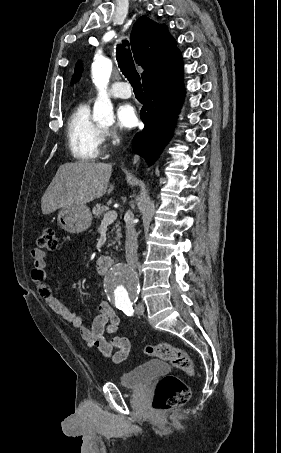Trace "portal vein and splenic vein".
Masks as SVG:
<instances>
[{"instance_id": "obj_1", "label": "portal vein and splenic vein", "mask_w": 281, "mask_h": 453, "mask_svg": "<svg viewBox=\"0 0 281 453\" xmlns=\"http://www.w3.org/2000/svg\"><path fill=\"white\" fill-rule=\"evenodd\" d=\"M115 218H117L116 210H108V212L104 214L102 222H114Z\"/></svg>"}]
</instances>
